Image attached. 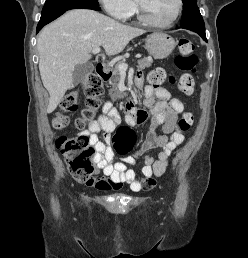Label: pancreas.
<instances>
[{"label":"pancreas","instance_id":"cf45deb5","mask_svg":"<svg viewBox=\"0 0 248 258\" xmlns=\"http://www.w3.org/2000/svg\"><path fill=\"white\" fill-rule=\"evenodd\" d=\"M121 63H124V59L119 62V64H121ZM152 63H153L152 58H150V57L143 58L138 61V67L140 69H144V68L150 67L152 65ZM118 65H116L113 68L112 78L109 81L110 85L112 86V89L110 90V96L113 101H115L121 97V93L118 91V88H117V86H118L117 83L120 78V71H119Z\"/></svg>","mask_w":248,"mask_h":258}]
</instances>
